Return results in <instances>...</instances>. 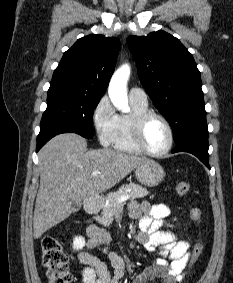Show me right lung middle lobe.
I'll list each match as a JSON object with an SVG mask.
<instances>
[{
    "instance_id": "obj_1",
    "label": "right lung middle lobe",
    "mask_w": 233,
    "mask_h": 283,
    "mask_svg": "<svg viewBox=\"0 0 233 283\" xmlns=\"http://www.w3.org/2000/svg\"><path fill=\"white\" fill-rule=\"evenodd\" d=\"M100 99L66 88L50 87L39 135L53 130H66L91 139L93 112Z\"/></svg>"
}]
</instances>
